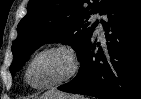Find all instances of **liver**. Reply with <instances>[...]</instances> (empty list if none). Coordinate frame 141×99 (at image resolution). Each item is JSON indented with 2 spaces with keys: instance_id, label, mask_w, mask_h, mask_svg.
Listing matches in <instances>:
<instances>
[{
  "instance_id": "1",
  "label": "liver",
  "mask_w": 141,
  "mask_h": 99,
  "mask_svg": "<svg viewBox=\"0 0 141 99\" xmlns=\"http://www.w3.org/2000/svg\"><path fill=\"white\" fill-rule=\"evenodd\" d=\"M45 95H50L51 99H74L73 96L59 92V91H50L46 93Z\"/></svg>"
}]
</instances>
